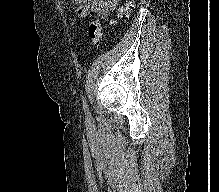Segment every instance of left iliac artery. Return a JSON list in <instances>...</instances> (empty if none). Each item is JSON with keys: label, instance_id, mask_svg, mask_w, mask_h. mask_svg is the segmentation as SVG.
<instances>
[{"label": "left iliac artery", "instance_id": "44dca946", "mask_svg": "<svg viewBox=\"0 0 219 192\" xmlns=\"http://www.w3.org/2000/svg\"><path fill=\"white\" fill-rule=\"evenodd\" d=\"M82 105H83V109H84L86 118H87V119H90V118H91V114H90V112H89L88 105H87V101H86V98H85V97H83Z\"/></svg>", "mask_w": 219, "mask_h": 192}]
</instances>
